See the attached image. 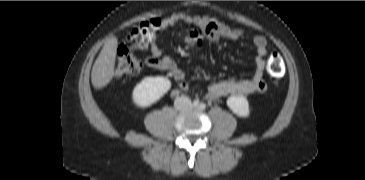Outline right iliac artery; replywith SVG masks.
Listing matches in <instances>:
<instances>
[{
    "label": "right iliac artery",
    "mask_w": 365,
    "mask_h": 180,
    "mask_svg": "<svg viewBox=\"0 0 365 180\" xmlns=\"http://www.w3.org/2000/svg\"><path fill=\"white\" fill-rule=\"evenodd\" d=\"M193 106H195V107L199 106V101L198 100H194L193 101Z\"/></svg>",
    "instance_id": "82829eb1"
}]
</instances>
